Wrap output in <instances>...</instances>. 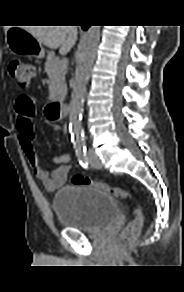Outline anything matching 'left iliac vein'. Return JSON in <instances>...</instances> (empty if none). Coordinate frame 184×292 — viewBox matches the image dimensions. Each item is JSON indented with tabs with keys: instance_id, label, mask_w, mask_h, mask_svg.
I'll return each instance as SVG.
<instances>
[{
	"instance_id": "left-iliac-vein-1",
	"label": "left iliac vein",
	"mask_w": 184,
	"mask_h": 292,
	"mask_svg": "<svg viewBox=\"0 0 184 292\" xmlns=\"http://www.w3.org/2000/svg\"><path fill=\"white\" fill-rule=\"evenodd\" d=\"M89 163L94 168H101L100 160L95 153H89Z\"/></svg>"
}]
</instances>
